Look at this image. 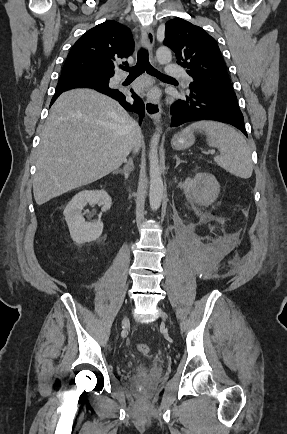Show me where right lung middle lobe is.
Instances as JSON below:
<instances>
[{
	"mask_svg": "<svg viewBox=\"0 0 287 434\" xmlns=\"http://www.w3.org/2000/svg\"><path fill=\"white\" fill-rule=\"evenodd\" d=\"M109 79L110 76L92 74L87 72H62L59 80L83 81L92 85L108 87Z\"/></svg>",
	"mask_w": 287,
	"mask_h": 434,
	"instance_id": "obj_1",
	"label": "right lung middle lobe"
}]
</instances>
